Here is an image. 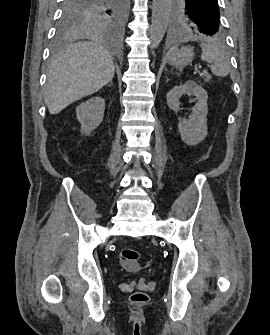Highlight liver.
<instances>
[{
    "mask_svg": "<svg viewBox=\"0 0 270 335\" xmlns=\"http://www.w3.org/2000/svg\"><path fill=\"white\" fill-rule=\"evenodd\" d=\"M114 72L111 52L101 42L69 44L51 62L44 94L50 114L98 92L112 82Z\"/></svg>",
    "mask_w": 270,
    "mask_h": 335,
    "instance_id": "6515ba94",
    "label": "liver"
}]
</instances>
